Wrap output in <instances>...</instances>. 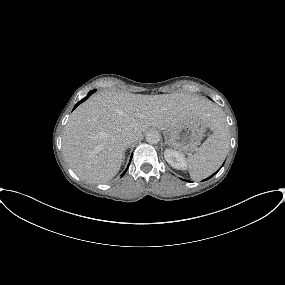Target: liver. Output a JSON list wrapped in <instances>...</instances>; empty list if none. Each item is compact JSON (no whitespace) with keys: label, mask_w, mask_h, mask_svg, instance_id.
Here are the masks:
<instances>
[{"label":"liver","mask_w":285,"mask_h":285,"mask_svg":"<svg viewBox=\"0 0 285 285\" xmlns=\"http://www.w3.org/2000/svg\"><path fill=\"white\" fill-rule=\"evenodd\" d=\"M218 112L210 101L190 94L101 92L70 116L62 136L63 155L81 179L105 183L118 173L125 157L123 135L139 138L150 126L166 130L194 117L211 128Z\"/></svg>","instance_id":"liver-1"}]
</instances>
